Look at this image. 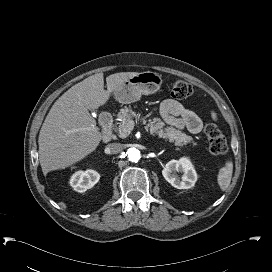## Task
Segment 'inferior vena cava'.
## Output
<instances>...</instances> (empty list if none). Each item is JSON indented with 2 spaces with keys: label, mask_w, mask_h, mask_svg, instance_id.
Wrapping results in <instances>:
<instances>
[{
  "label": "inferior vena cava",
  "mask_w": 272,
  "mask_h": 272,
  "mask_svg": "<svg viewBox=\"0 0 272 272\" xmlns=\"http://www.w3.org/2000/svg\"><path fill=\"white\" fill-rule=\"evenodd\" d=\"M122 150V145L120 143H110L106 147V151L109 154H118Z\"/></svg>",
  "instance_id": "602c4592"
}]
</instances>
